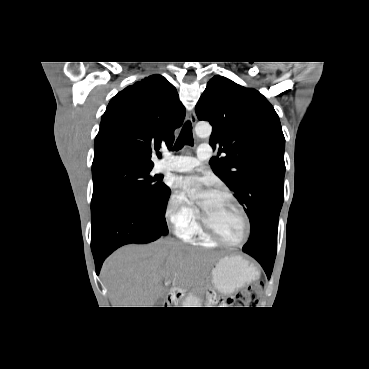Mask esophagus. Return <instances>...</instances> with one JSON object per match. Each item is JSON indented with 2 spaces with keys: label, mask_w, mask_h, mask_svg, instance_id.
Masks as SVG:
<instances>
[{
  "label": "esophagus",
  "mask_w": 369,
  "mask_h": 369,
  "mask_svg": "<svg viewBox=\"0 0 369 369\" xmlns=\"http://www.w3.org/2000/svg\"><path fill=\"white\" fill-rule=\"evenodd\" d=\"M187 119L192 123V125H195L197 122V116H196V112L195 110H191L188 114H187Z\"/></svg>",
  "instance_id": "esophagus-1"
}]
</instances>
